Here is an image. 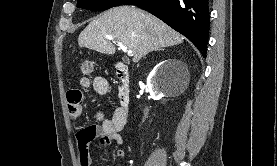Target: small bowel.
Returning <instances> with one entry per match:
<instances>
[{
	"instance_id": "obj_1",
	"label": "small bowel",
	"mask_w": 277,
	"mask_h": 166,
	"mask_svg": "<svg viewBox=\"0 0 277 166\" xmlns=\"http://www.w3.org/2000/svg\"><path fill=\"white\" fill-rule=\"evenodd\" d=\"M79 86L81 89H72L66 94L69 116L75 121L79 120L82 116L83 91L94 97L96 95H105L110 89L109 82L102 76H97L93 80L81 77L79 79ZM96 120L97 124L83 127L76 134L80 166H92L89 145L95 139H99L101 145L110 142H115L118 146L123 145V138L120 132L123 130L126 121L120 118L118 108L110 119L106 118L102 112H97ZM123 156L124 151L121 148H118L114 152L115 158H122Z\"/></svg>"
}]
</instances>
